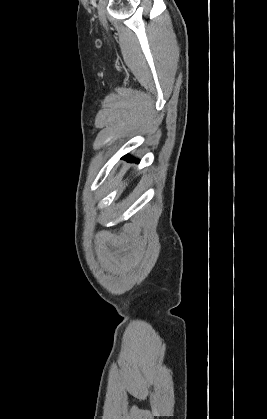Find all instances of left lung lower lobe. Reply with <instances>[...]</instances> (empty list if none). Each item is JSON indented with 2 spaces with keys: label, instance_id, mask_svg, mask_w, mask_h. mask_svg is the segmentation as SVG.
I'll use <instances>...</instances> for the list:
<instances>
[{
  "label": "left lung lower lobe",
  "instance_id": "0a47b994",
  "mask_svg": "<svg viewBox=\"0 0 267 419\" xmlns=\"http://www.w3.org/2000/svg\"><path fill=\"white\" fill-rule=\"evenodd\" d=\"M125 158L128 160V161H131V162H135V161H137V160H135V159H133V158H131L130 156H125Z\"/></svg>",
  "mask_w": 267,
  "mask_h": 419
}]
</instances>
